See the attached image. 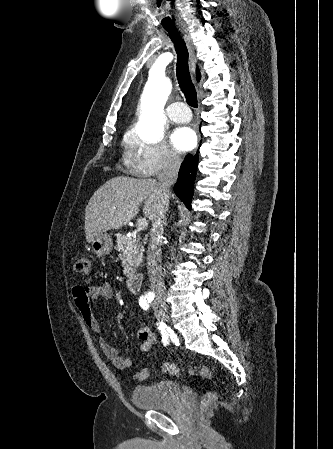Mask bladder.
Here are the masks:
<instances>
[{"mask_svg": "<svg viewBox=\"0 0 333 449\" xmlns=\"http://www.w3.org/2000/svg\"><path fill=\"white\" fill-rule=\"evenodd\" d=\"M181 395L180 385L172 380L136 386L132 391L133 405L142 410H159L173 406Z\"/></svg>", "mask_w": 333, "mask_h": 449, "instance_id": "1", "label": "bladder"}]
</instances>
